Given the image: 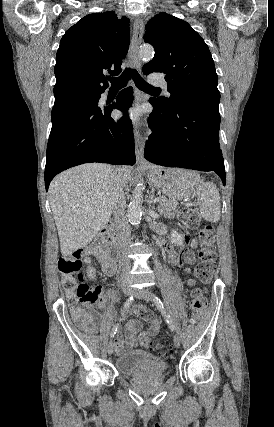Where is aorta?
Here are the masks:
<instances>
[{"mask_svg": "<svg viewBox=\"0 0 274 427\" xmlns=\"http://www.w3.org/2000/svg\"><path fill=\"white\" fill-rule=\"evenodd\" d=\"M140 58L150 60L154 56V49L151 46H143L139 50ZM143 193L140 188L133 191L130 204L128 206V220L132 225H138L142 216Z\"/></svg>", "mask_w": 274, "mask_h": 427, "instance_id": "1", "label": "aorta"}]
</instances>
